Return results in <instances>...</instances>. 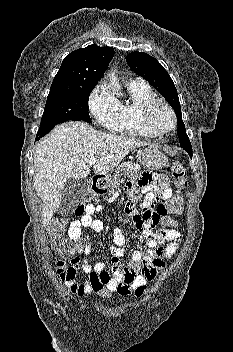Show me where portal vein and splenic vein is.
<instances>
[{"label": "portal vein and splenic vein", "instance_id": "18ae733b", "mask_svg": "<svg viewBox=\"0 0 233 352\" xmlns=\"http://www.w3.org/2000/svg\"><path fill=\"white\" fill-rule=\"evenodd\" d=\"M88 163L89 165H94L96 163V158L95 157L90 158Z\"/></svg>", "mask_w": 233, "mask_h": 352}]
</instances>
